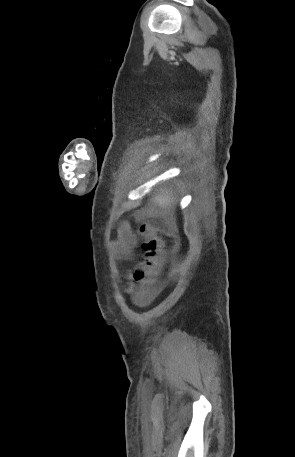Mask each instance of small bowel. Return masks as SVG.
Listing matches in <instances>:
<instances>
[{
	"mask_svg": "<svg viewBox=\"0 0 295 457\" xmlns=\"http://www.w3.org/2000/svg\"><path fill=\"white\" fill-rule=\"evenodd\" d=\"M136 241V236L130 226L127 223H123L118 229V236L114 243V248L119 255L128 256L135 246ZM160 289V286L149 284L142 289L138 299L142 302L149 301L160 291Z\"/></svg>",
	"mask_w": 295,
	"mask_h": 457,
	"instance_id": "c3829d8e",
	"label": "small bowel"
}]
</instances>
